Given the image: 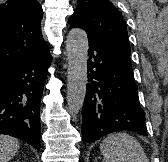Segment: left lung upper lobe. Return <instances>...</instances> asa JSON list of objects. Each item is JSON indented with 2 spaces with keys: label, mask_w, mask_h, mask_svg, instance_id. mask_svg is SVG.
Returning a JSON list of instances; mask_svg holds the SVG:
<instances>
[{
  "label": "left lung upper lobe",
  "mask_w": 168,
  "mask_h": 162,
  "mask_svg": "<svg viewBox=\"0 0 168 162\" xmlns=\"http://www.w3.org/2000/svg\"><path fill=\"white\" fill-rule=\"evenodd\" d=\"M71 27L80 26L87 34L119 50L130 58V44L125 21L109 0H78L69 18Z\"/></svg>",
  "instance_id": "1"
}]
</instances>
